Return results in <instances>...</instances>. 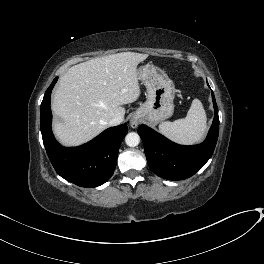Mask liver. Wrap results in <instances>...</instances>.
Segmentation results:
<instances>
[{
	"instance_id": "obj_1",
	"label": "liver",
	"mask_w": 264,
	"mask_h": 264,
	"mask_svg": "<svg viewBox=\"0 0 264 264\" xmlns=\"http://www.w3.org/2000/svg\"><path fill=\"white\" fill-rule=\"evenodd\" d=\"M147 57L122 52L69 68L52 98V110L61 119L53 122L58 141L81 145L104 131L112 118H124V105L140 95L137 66Z\"/></svg>"
}]
</instances>
